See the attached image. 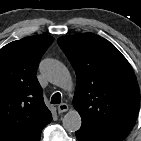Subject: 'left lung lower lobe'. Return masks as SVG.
Masks as SVG:
<instances>
[{
    "label": "left lung lower lobe",
    "instance_id": "1",
    "mask_svg": "<svg viewBox=\"0 0 141 141\" xmlns=\"http://www.w3.org/2000/svg\"><path fill=\"white\" fill-rule=\"evenodd\" d=\"M75 134H76L78 141H111V140L100 138L96 135H93L82 128L76 131Z\"/></svg>",
    "mask_w": 141,
    "mask_h": 141
}]
</instances>
